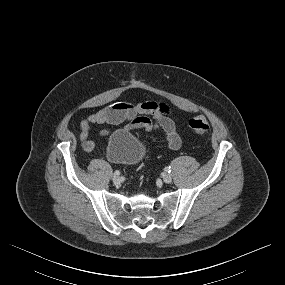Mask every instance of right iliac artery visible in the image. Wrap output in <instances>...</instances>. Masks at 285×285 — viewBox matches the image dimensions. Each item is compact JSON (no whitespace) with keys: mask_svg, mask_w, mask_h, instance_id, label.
I'll return each instance as SVG.
<instances>
[{"mask_svg":"<svg viewBox=\"0 0 285 285\" xmlns=\"http://www.w3.org/2000/svg\"><path fill=\"white\" fill-rule=\"evenodd\" d=\"M114 175L119 176V175H120V171H119V170H116V171L114 172Z\"/></svg>","mask_w":285,"mask_h":285,"instance_id":"obj_1","label":"right iliac artery"}]
</instances>
